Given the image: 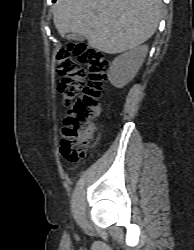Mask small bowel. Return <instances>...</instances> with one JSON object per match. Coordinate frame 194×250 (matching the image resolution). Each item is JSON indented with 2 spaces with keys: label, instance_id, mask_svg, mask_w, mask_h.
I'll use <instances>...</instances> for the list:
<instances>
[{
  "label": "small bowel",
  "instance_id": "small-bowel-1",
  "mask_svg": "<svg viewBox=\"0 0 194 250\" xmlns=\"http://www.w3.org/2000/svg\"><path fill=\"white\" fill-rule=\"evenodd\" d=\"M94 129V127L93 126H91V130H93Z\"/></svg>",
  "mask_w": 194,
  "mask_h": 250
}]
</instances>
